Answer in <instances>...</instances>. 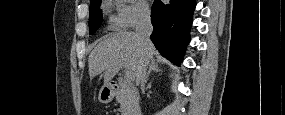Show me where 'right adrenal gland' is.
<instances>
[{"mask_svg": "<svg viewBox=\"0 0 285 115\" xmlns=\"http://www.w3.org/2000/svg\"><path fill=\"white\" fill-rule=\"evenodd\" d=\"M154 71V72H162V69L159 68L158 64L156 62H151L149 64V70L147 72V75H146V79H145V82L148 81V78H149V75L150 73Z\"/></svg>", "mask_w": 285, "mask_h": 115, "instance_id": "obj_1", "label": "right adrenal gland"}]
</instances>
